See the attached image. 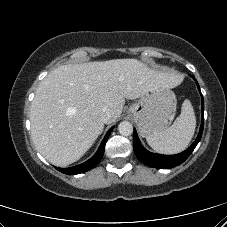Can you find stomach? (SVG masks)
I'll use <instances>...</instances> for the list:
<instances>
[{
	"label": "stomach",
	"instance_id": "stomach-1",
	"mask_svg": "<svg viewBox=\"0 0 227 227\" xmlns=\"http://www.w3.org/2000/svg\"><path fill=\"white\" fill-rule=\"evenodd\" d=\"M176 104V96L170 89L157 87L142 95L127 112L140 134L147 137L165 130L172 123Z\"/></svg>",
	"mask_w": 227,
	"mask_h": 227
}]
</instances>
